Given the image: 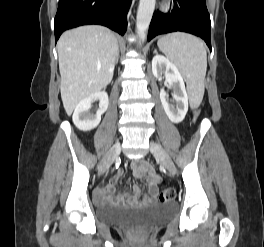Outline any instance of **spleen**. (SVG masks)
Returning <instances> with one entry per match:
<instances>
[{
  "label": "spleen",
  "instance_id": "spleen-1",
  "mask_svg": "<svg viewBox=\"0 0 264 247\" xmlns=\"http://www.w3.org/2000/svg\"><path fill=\"white\" fill-rule=\"evenodd\" d=\"M157 44L185 77L191 101L199 105L204 95L207 70L203 42L193 35L178 32L160 38Z\"/></svg>",
  "mask_w": 264,
  "mask_h": 247
}]
</instances>
